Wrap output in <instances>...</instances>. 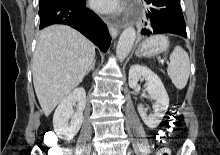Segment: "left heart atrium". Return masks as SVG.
Returning <instances> with one entry per match:
<instances>
[{
	"label": "left heart atrium",
	"mask_w": 220,
	"mask_h": 155,
	"mask_svg": "<svg viewBox=\"0 0 220 155\" xmlns=\"http://www.w3.org/2000/svg\"><path fill=\"white\" fill-rule=\"evenodd\" d=\"M91 6L101 13H113L121 9L120 0H90Z\"/></svg>",
	"instance_id": "1"
}]
</instances>
